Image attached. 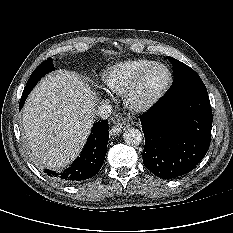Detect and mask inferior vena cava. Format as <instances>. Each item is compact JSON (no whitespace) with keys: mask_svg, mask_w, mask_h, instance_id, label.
<instances>
[{"mask_svg":"<svg viewBox=\"0 0 233 233\" xmlns=\"http://www.w3.org/2000/svg\"><path fill=\"white\" fill-rule=\"evenodd\" d=\"M96 113L102 118L107 119L112 113V107L108 103L101 104Z\"/></svg>","mask_w":233,"mask_h":233,"instance_id":"obj_1","label":"inferior vena cava"}]
</instances>
